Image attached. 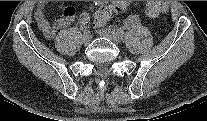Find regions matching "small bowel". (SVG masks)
<instances>
[{
    "instance_id": "obj_1",
    "label": "small bowel",
    "mask_w": 207,
    "mask_h": 121,
    "mask_svg": "<svg viewBox=\"0 0 207 121\" xmlns=\"http://www.w3.org/2000/svg\"><path fill=\"white\" fill-rule=\"evenodd\" d=\"M103 4H111L116 6L117 8L115 10V14L122 13L127 6V3L124 1L116 3L102 2L101 5ZM45 10L46 3L39 2L35 10L34 17L39 30L42 32L43 36L48 40L53 39L60 29L67 27L72 22L76 14L75 8L72 6H68L65 8L63 15L51 23L46 18Z\"/></svg>"
}]
</instances>
